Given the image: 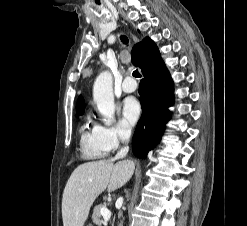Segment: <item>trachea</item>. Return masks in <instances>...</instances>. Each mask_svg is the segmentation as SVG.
<instances>
[{"label":"trachea","mask_w":247,"mask_h":226,"mask_svg":"<svg viewBox=\"0 0 247 226\" xmlns=\"http://www.w3.org/2000/svg\"><path fill=\"white\" fill-rule=\"evenodd\" d=\"M121 41H122L124 44H127L128 39H127V37H125V36H121ZM133 76L136 77V78L141 77V75H140V73H139L138 70H135V71L133 72Z\"/></svg>","instance_id":"3493384b"}]
</instances>
